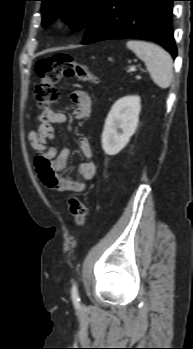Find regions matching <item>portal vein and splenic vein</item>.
Listing matches in <instances>:
<instances>
[{
    "instance_id": "portal-vein-and-splenic-vein-1",
    "label": "portal vein and splenic vein",
    "mask_w": 193,
    "mask_h": 349,
    "mask_svg": "<svg viewBox=\"0 0 193 349\" xmlns=\"http://www.w3.org/2000/svg\"><path fill=\"white\" fill-rule=\"evenodd\" d=\"M129 71H130V72L136 71V67H135V66L130 67Z\"/></svg>"
}]
</instances>
